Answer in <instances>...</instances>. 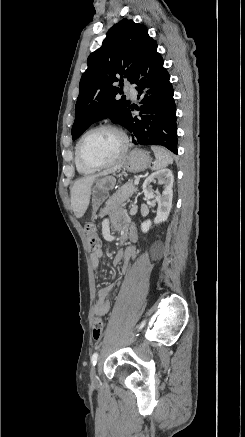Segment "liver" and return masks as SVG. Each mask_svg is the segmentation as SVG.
Segmentation results:
<instances>
[{"label":"liver","mask_w":245,"mask_h":437,"mask_svg":"<svg viewBox=\"0 0 245 437\" xmlns=\"http://www.w3.org/2000/svg\"><path fill=\"white\" fill-rule=\"evenodd\" d=\"M120 167V165L116 166L110 170L102 172L100 175L105 176L114 173L120 169ZM100 175L86 176L77 180L72 186L70 192L71 208L77 218H81L85 214L90 202L92 185Z\"/></svg>","instance_id":"obj_1"}]
</instances>
